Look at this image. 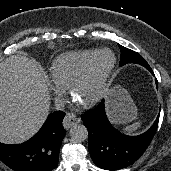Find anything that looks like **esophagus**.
Here are the masks:
<instances>
[{
	"instance_id": "esophagus-1",
	"label": "esophagus",
	"mask_w": 171,
	"mask_h": 171,
	"mask_svg": "<svg viewBox=\"0 0 171 171\" xmlns=\"http://www.w3.org/2000/svg\"><path fill=\"white\" fill-rule=\"evenodd\" d=\"M80 122V119L74 115L73 113H66V116L63 120V126L66 129H69L73 125L77 124Z\"/></svg>"
}]
</instances>
